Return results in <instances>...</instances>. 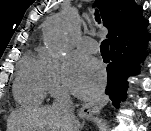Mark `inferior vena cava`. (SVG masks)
<instances>
[{
  "label": "inferior vena cava",
  "mask_w": 151,
  "mask_h": 131,
  "mask_svg": "<svg viewBox=\"0 0 151 131\" xmlns=\"http://www.w3.org/2000/svg\"><path fill=\"white\" fill-rule=\"evenodd\" d=\"M101 101L104 102L103 97L101 98ZM53 106L60 109L61 111H63L65 113V115L67 116V119L71 122L72 124V129H70L71 131H73L74 127H75V122L72 116V101L70 99L69 93L67 91H64L62 93H60L59 95L56 96Z\"/></svg>",
  "instance_id": "602c4592"
}]
</instances>
